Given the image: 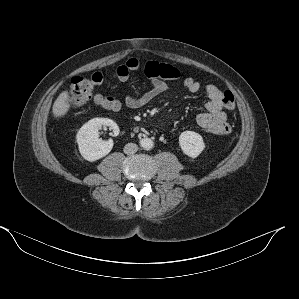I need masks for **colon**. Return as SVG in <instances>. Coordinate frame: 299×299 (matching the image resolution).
<instances>
[{"mask_svg":"<svg viewBox=\"0 0 299 299\" xmlns=\"http://www.w3.org/2000/svg\"><path fill=\"white\" fill-rule=\"evenodd\" d=\"M101 75L94 74L91 77H73L68 92L67 103L71 108H81L91 98L95 87L101 82ZM223 105L228 111L235 109V98L229 91L224 93Z\"/></svg>","mask_w":299,"mask_h":299,"instance_id":"5ec220e1","label":"colon"}]
</instances>
